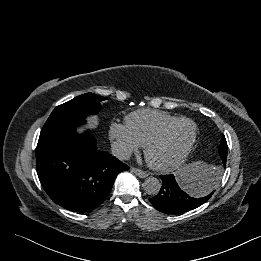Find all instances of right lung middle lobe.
I'll return each instance as SVG.
<instances>
[{"mask_svg":"<svg viewBox=\"0 0 261 261\" xmlns=\"http://www.w3.org/2000/svg\"><path fill=\"white\" fill-rule=\"evenodd\" d=\"M106 98L93 93H85L62 105L57 106L43 127L64 121L84 120L89 114H96L100 109V102Z\"/></svg>","mask_w":261,"mask_h":261,"instance_id":"obj_1","label":"right lung middle lobe"}]
</instances>
